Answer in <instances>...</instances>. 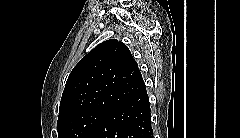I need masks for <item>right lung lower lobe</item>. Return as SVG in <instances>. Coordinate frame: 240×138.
Listing matches in <instances>:
<instances>
[{
	"mask_svg": "<svg viewBox=\"0 0 240 138\" xmlns=\"http://www.w3.org/2000/svg\"><path fill=\"white\" fill-rule=\"evenodd\" d=\"M86 138H153L147 91L107 112Z\"/></svg>",
	"mask_w": 240,
	"mask_h": 138,
	"instance_id": "obj_1",
	"label": "right lung lower lobe"
}]
</instances>
